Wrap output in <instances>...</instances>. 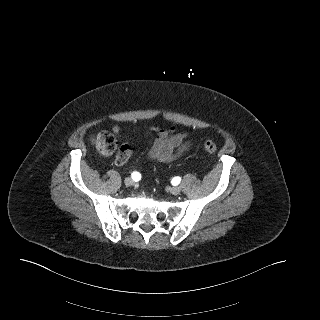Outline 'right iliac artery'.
I'll use <instances>...</instances> for the list:
<instances>
[{"instance_id":"82829eb1","label":"right iliac artery","mask_w":320,"mask_h":320,"mask_svg":"<svg viewBox=\"0 0 320 320\" xmlns=\"http://www.w3.org/2000/svg\"><path fill=\"white\" fill-rule=\"evenodd\" d=\"M132 179L138 181L140 179V174L138 172L132 173Z\"/></svg>"}]
</instances>
